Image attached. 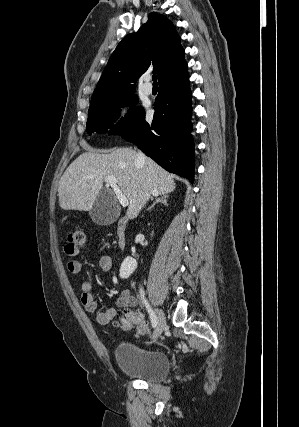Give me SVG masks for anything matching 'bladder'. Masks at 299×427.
Returning <instances> with one entry per match:
<instances>
[{"mask_svg": "<svg viewBox=\"0 0 299 427\" xmlns=\"http://www.w3.org/2000/svg\"><path fill=\"white\" fill-rule=\"evenodd\" d=\"M115 357L124 375L147 382L161 381L171 370L166 354L143 350L130 342H120L115 348Z\"/></svg>", "mask_w": 299, "mask_h": 427, "instance_id": "obj_1", "label": "bladder"}]
</instances>
